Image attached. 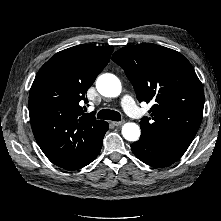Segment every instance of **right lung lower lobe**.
<instances>
[{
  "mask_svg": "<svg viewBox=\"0 0 221 221\" xmlns=\"http://www.w3.org/2000/svg\"><path fill=\"white\" fill-rule=\"evenodd\" d=\"M107 130H108V123L104 122L102 124L101 128L98 130V132L96 133V135L93 138V149H92L90 155L79 166L74 167L72 169L82 168V167L88 165L89 163H91L97 157V155L99 154V152L101 150L102 143H103V137H104Z\"/></svg>",
  "mask_w": 221,
  "mask_h": 221,
  "instance_id": "98d812e1",
  "label": "right lung lower lobe"
}]
</instances>
